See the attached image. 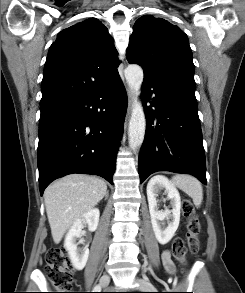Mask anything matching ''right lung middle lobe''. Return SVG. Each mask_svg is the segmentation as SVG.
I'll return each instance as SVG.
<instances>
[{"label":"right lung middle lobe","instance_id":"obj_1","mask_svg":"<svg viewBox=\"0 0 245 293\" xmlns=\"http://www.w3.org/2000/svg\"><path fill=\"white\" fill-rule=\"evenodd\" d=\"M57 107H51V108H41V116L40 118L45 117L46 115L52 113Z\"/></svg>","mask_w":245,"mask_h":293}]
</instances>
